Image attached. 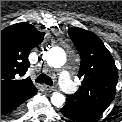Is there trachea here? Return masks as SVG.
Wrapping results in <instances>:
<instances>
[{"label":"trachea","instance_id":"obj_1","mask_svg":"<svg viewBox=\"0 0 122 122\" xmlns=\"http://www.w3.org/2000/svg\"><path fill=\"white\" fill-rule=\"evenodd\" d=\"M35 81H36L37 83H45V84H47V85H49V86H52V85H53L52 79H51L49 76H47L46 74H40V75L36 78Z\"/></svg>","mask_w":122,"mask_h":122}]
</instances>
